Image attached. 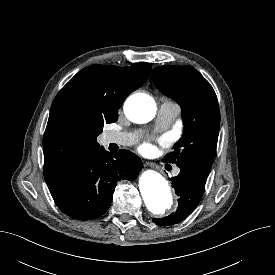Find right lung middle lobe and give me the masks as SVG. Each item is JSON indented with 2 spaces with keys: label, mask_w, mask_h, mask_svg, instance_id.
<instances>
[{
  "label": "right lung middle lobe",
  "mask_w": 275,
  "mask_h": 275,
  "mask_svg": "<svg viewBox=\"0 0 275 275\" xmlns=\"http://www.w3.org/2000/svg\"><path fill=\"white\" fill-rule=\"evenodd\" d=\"M117 119H118V117L116 116V117H114L113 119H111V120H109V121H107L106 123H112V122H115V121H117ZM103 125H104V123L100 126V132H102V130H103Z\"/></svg>",
  "instance_id": "1"
}]
</instances>
